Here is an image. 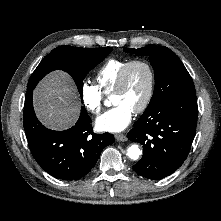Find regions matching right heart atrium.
<instances>
[{"label": "right heart atrium", "instance_id": "right-heart-atrium-1", "mask_svg": "<svg viewBox=\"0 0 221 221\" xmlns=\"http://www.w3.org/2000/svg\"><path fill=\"white\" fill-rule=\"evenodd\" d=\"M81 100L85 108L92 114H97L103 107V93L89 82L82 83Z\"/></svg>", "mask_w": 221, "mask_h": 221}]
</instances>
